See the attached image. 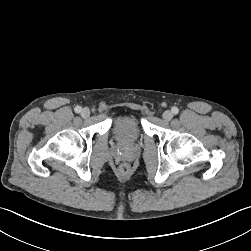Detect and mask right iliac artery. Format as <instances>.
Segmentation results:
<instances>
[{
    "mask_svg": "<svg viewBox=\"0 0 251 251\" xmlns=\"http://www.w3.org/2000/svg\"><path fill=\"white\" fill-rule=\"evenodd\" d=\"M74 110L76 113H80L82 108L80 106H76Z\"/></svg>",
    "mask_w": 251,
    "mask_h": 251,
    "instance_id": "obj_1",
    "label": "right iliac artery"
}]
</instances>
